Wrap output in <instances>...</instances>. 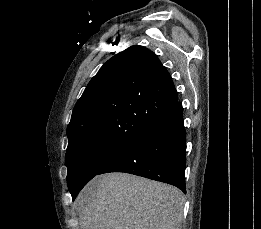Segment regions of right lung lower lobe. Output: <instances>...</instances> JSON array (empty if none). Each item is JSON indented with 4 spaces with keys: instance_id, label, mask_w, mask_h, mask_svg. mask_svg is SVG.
<instances>
[{
    "instance_id": "right-lung-lower-lobe-1",
    "label": "right lung lower lobe",
    "mask_w": 261,
    "mask_h": 229,
    "mask_svg": "<svg viewBox=\"0 0 261 229\" xmlns=\"http://www.w3.org/2000/svg\"><path fill=\"white\" fill-rule=\"evenodd\" d=\"M186 132L179 102L98 174L125 172L186 192ZM97 174V175H98Z\"/></svg>"
}]
</instances>
